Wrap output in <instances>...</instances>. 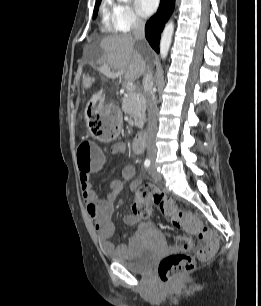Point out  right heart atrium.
<instances>
[{
	"label": "right heart atrium",
	"instance_id": "1",
	"mask_svg": "<svg viewBox=\"0 0 261 306\" xmlns=\"http://www.w3.org/2000/svg\"><path fill=\"white\" fill-rule=\"evenodd\" d=\"M113 23L118 31H130L142 24L141 17L128 3L112 2Z\"/></svg>",
	"mask_w": 261,
	"mask_h": 306
}]
</instances>
